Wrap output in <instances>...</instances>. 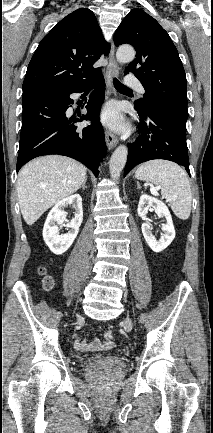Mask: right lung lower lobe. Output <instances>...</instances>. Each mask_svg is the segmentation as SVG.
Instances as JSON below:
<instances>
[{
    "label": "right lung lower lobe",
    "instance_id": "right-lung-lower-lobe-1",
    "mask_svg": "<svg viewBox=\"0 0 213 433\" xmlns=\"http://www.w3.org/2000/svg\"><path fill=\"white\" fill-rule=\"evenodd\" d=\"M92 87L95 90L85 106L87 114L68 118L66 110L73 104L69 95ZM104 98L105 83L101 73L66 91H24L17 172L35 157L59 154L82 162L97 177L100 161L106 154L104 131L98 117ZM83 120H92V124L83 129L72 124Z\"/></svg>",
    "mask_w": 213,
    "mask_h": 433
}]
</instances>
